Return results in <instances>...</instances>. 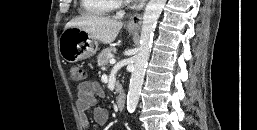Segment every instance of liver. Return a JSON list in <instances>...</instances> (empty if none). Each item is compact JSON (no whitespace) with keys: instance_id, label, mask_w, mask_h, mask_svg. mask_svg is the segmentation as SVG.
Masks as SVG:
<instances>
[{"instance_id":"liver-1","label":"liver","mask_w":257,"mask_h":130,"mask_svg":"<svg viewBox=\"0 0 257 130\" xmlns=\"http://www.w3.org/2000/svg\"><path fill=\"white\" fill-rule=\"evenodd\" d=\"M123 23L107 17L84 15L70 20L65 28L77 27L91 38L104 44L112 43L119 34Z\"/></svg>"}]
</instances>
